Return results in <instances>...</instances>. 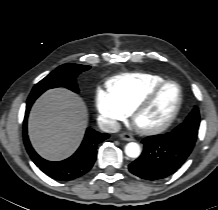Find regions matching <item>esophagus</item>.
<instances>
[{
  "instance_id": "esophagus-1",
  "label": "esophagus",
  "mask_w": 218,
  "mask_h": 210,
  "mask_svg": "<svg viewBox=\"0 0 218 210\" xmlns=\"http://www.w3.org/2000/svg\"><path fill=\"white\" fill-rule=\"evenodd\" d=\"M119 137L124 141H133L134 138L128 133H121Z\"/></svg>"
}]
</instances>
